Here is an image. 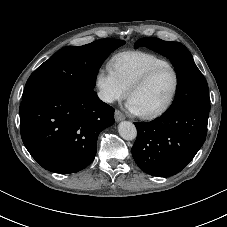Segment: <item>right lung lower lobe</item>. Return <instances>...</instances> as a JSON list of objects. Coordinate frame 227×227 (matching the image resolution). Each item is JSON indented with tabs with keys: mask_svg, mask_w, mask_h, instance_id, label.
<instances>
[{
	"mask_svg": "<svg viewBox=\"0 0 227 227\" xmlns=\"http://www.w3.org/2000/svg\"><path fill=\"white\" fill-rule=\"evenodd\" d=\"M114 123V109L93 91L40 92L23 99L20 130L25 147L46 170L75 173L95 158L99 133Z\"/></svg>",
	"mask_w": 227,
	"mask_h": 227,
	"instance_id": "obj_1",
	"label": "right lung lower lobe"
}]
</instances>
